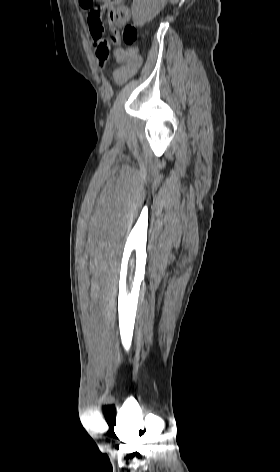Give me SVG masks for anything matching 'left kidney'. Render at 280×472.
I'll list each match as a JSON object with an SVG mask.
<instances>
[{"label": "left kidney", "mask_w": 280, "mask_h": 472, "mask_svg": "<svg viewBox=\"0 0 280 472\" xmlns=\"http://www.w3.org/2000/svg\"><path fill=\"white\" fill-rule=\"evenodd\" d=\"M163 0H133L132 19L136 26L151 21L162 9Z\"/></svg>", "instance_id": "obj_1"}]
</instances>
